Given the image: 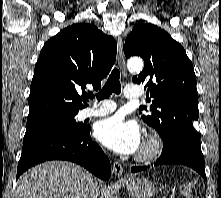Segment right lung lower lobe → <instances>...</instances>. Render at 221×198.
<instances>
[{"label": "right lung lower lobe", "instance_id": "98d812e1", "mask_svg": "<svg viewBox=\"0 0 221 198\" xmlns=\"http://www.w3.org/2000/svg\"><path fill=\"white\" fill-rule=\"evenodd\" d=\"M49 160L77 163L104 181L111 175L109 159L102 149L91 141L88 125L76 133L47 134L23 144L17 178L30 167Z\"/></svg>", "mask_w": 221, "mask_h": 198}]
</instances>
